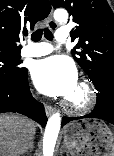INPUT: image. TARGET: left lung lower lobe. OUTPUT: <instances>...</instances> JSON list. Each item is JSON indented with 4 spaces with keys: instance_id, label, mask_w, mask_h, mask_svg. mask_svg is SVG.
<instances>
[{
    "instance_id": "obj_1",
    "label": "left lung lower lobe",
    "mask_w": 114,
    "mask_h": 156,
    "mask_svg": "<svg viewBox=\"0 0 114 156\" xmlns=\"http://www.w3.org/2000/svg\"><path fill=\"white\" fill-rule=\"evenodd\" d=\"M97 89V103L94 110L81 117H63L62 126L80 118H98L114 124V83H108Z\"/></svg>"
}]
</instances>
